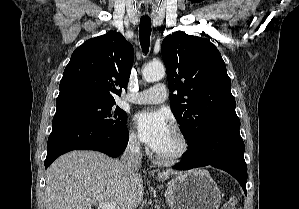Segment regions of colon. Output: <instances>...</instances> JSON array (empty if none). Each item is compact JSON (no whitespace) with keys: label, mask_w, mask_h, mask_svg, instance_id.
<instances>
[{"label":"colon","mask_w":299,"mask_h":209,"mask_svg":"<svg viewBox=\"0 0 299 209\" xmlns=\"http://www.w3.org/2000/svg\"><path fill=\"white\" fill-rule=\"evenodd\" d=\"M223 209H234V201H233V200L228 201V202L224 205Z\"/></svg>","instance_id":"1"}]
</instances>
